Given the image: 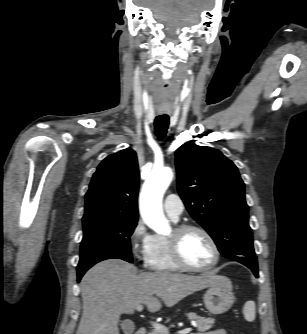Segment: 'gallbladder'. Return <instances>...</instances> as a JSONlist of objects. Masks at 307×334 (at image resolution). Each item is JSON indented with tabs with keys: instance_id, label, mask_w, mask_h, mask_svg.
Returning a JSON list of instances; mask_svg holds the SVG:
<instances>
[{
	"instance_id": "1",
	"label": "gallbladder",
	"mask_w": 307,
	"mask_h": 334,
	"mask_svg": "<svg viewBox=\"0 0 307 334\" xmlns=\"http://www.w3.org/2000/svg\"><path fill=\"white\" fill-rule=\"evenodd\" d=\"M122 326V330L126 333V334H131L134 329H135V326H134V323L130 320H124L121 324Z\"/></svg>"
}]
</instances>
